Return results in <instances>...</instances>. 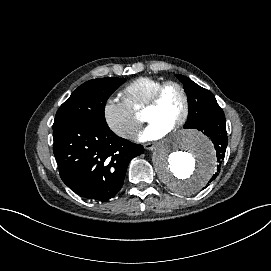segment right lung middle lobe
<instances>
[{
    "mask_svg": "<svg viewBox=\"0 0 271 271\" xmlns=\"http://www.w3.org/2000/svg\"><path fill=\"white\" fill-rule=\"evenodd\" d=\"M124 82L122 78H99L80 85L58 109L53 130L77 121L106 125V101Z\"/></svg>",
    "mask_w": 271,
    "mask_h": 271,
    "instance_id": "obj_1",
    "label": "right lung middle lobe"
}]
</instances>
